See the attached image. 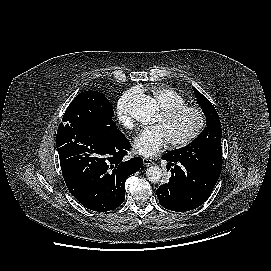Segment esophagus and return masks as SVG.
<instances>
[{"label":"esophagus","instance_id":"esophagus-1","mask_svg":"<svg viewBox=\"0 0 271 271\" xmlns=\"http://www.w3.org/2000/svg\"><path fill=\"white\" fill-rule=\"evenodd\" d=\"M143 164L147 167L154 165V161L148 158H143Z\"/></svg>","mask_w":271,"mask_h":271}]
</instances>
